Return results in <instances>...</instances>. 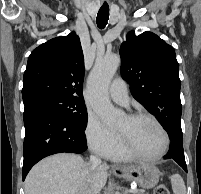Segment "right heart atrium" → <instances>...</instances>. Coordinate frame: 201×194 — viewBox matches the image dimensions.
Here are the masks:
<instances>
[{"instance_id":"obj_1","label":"right heart atrium","mask_w":201,"mask_h":194,"mask_svg":"<svg viewBox=\"0 0 201 194\" xmlns=\"http://www.w3.org/2000/svg\"><path fill=\"white\" fill-rule=\"evenodd\" d=\"M84 135L89 148L102 157H106L114 150L120 141L119 135L106 127L92 112L87 115Z\"/></svg>"}]
</instances>
